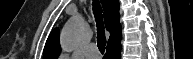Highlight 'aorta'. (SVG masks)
I'll return each mask as SVG.
<instances>
[{
  "label": "aorta",
  "instance_id": "1",
  "mask_svg": "<svg viewBox=\"0 0 193 59\" xmlns=\"http://www.w3.org/2000/svg\"><path fill=\"white\" fill-rule=\"evenodd\" d=\"M80 29L81 20L79 17H73L66 23L61 34V45L65 51L73 49Z\"/></svg>",
  "mask_w": 193,
  "mask_h": 59
}]
</instances>
